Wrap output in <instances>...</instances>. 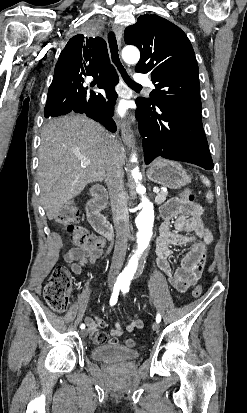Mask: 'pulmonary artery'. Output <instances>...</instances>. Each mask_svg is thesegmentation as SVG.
I'll use <instances>...</instances> for the list:
<instances>
[{"label":"pulmonary artery","mask_w":247,"mask_h":413,"mask_svg":"<svg viewBox=\"0 0 247 413\" xmlns=\"http://www.w3.org/2000/svg\"><path fill=\"white\" fill-rule=\"evenodd\" d=\"M135 83L139 87L143 86L144 83H145L150 89L155 88V85L152 82L151 77L148 76V75L147 76H144V75L136 76V82Z\"/></svg>","instance_id":"1"}]
</instances>
